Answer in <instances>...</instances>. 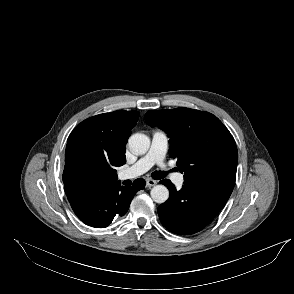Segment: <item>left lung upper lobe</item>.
Masks as SVG:
<instances>
[{
  "instance_id": "1",
  "label": "left lung upper lobe",
  "mask_w": 294,
  "mask_h": 294,
  "mask_svg": "<svg viewBox=\"0 0 294 294\" xmlns=\"http://www.w3.org/2000/svg\"><path fill=\"white\" fill-rule=\"evenodd\" d=\"M146 121L170 138L169 154L177 159L184 183L214 179L233 183L238 152L229 130L213 114L189 108L147 111Z\"/></svg>"
}]
</instances>
